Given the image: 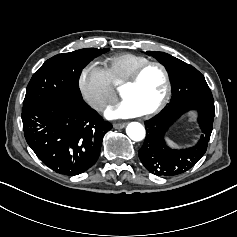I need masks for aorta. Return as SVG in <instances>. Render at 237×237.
I'll use <instances>...</instances> for the list:
<instances>
[{
    "mask_svg": "<svg viewBox=\"0 0 237 237\" xmlns=\"http://www.w3.org/2000/svg\"><path fill=\"white\" fill-rule=\"evenodd\" d=\"M128 137L133 141H141L145 138V128L139 122H131L126 128Z\"/></svg>",
    "mask_w": 237,
    "mask_h": 237,
    "instance_id": "1",
    "label": "aorta"
}]
</instances>
